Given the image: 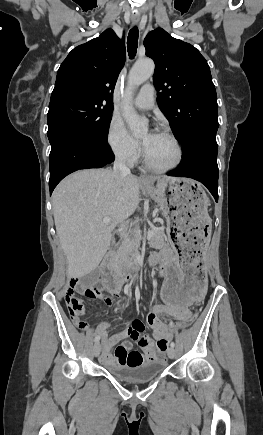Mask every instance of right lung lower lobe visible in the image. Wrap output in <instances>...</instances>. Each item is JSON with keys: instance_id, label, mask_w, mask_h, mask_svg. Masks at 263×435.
Wrapping results in <instances>:
<instances>
[{"instance_id": "obj_1", "label": "right lung lower lobe", "mask_w": 263, "mask_h": 435, "mask_svg": "<svg viewBox=\"0 0 263 435\" xmlns=\"http://www.w3.org/2000/svg\"><path fill=\"white\" fill-rule=\"evenodd\" d=\"M114 161V155L107 142H98L79 134L59 136L51 145L50 194L56 185L68 174L79 169L101 168Z\"/></svg>"}]
</instances>
